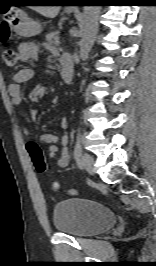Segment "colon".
<instances>
[{
    "label": "colon",
    "mask_w": 156,
    "mask_h": 266,
    "mask_svg": "<svg viewBox=\"0 0 156 266\" xmlns=\"http://www.w3.org/2000/svg\"><path fill=\"white\" fill-rule=\"evenodd\" d=\"M9 33H10L9 26L7 24H3L0 27L1 39H3V40L6 39L9 36ZM2 59L8 68H13L17 64L18 54L13 49H6L2 53ZM26 147H27V151L30 155L31 161H32L35 169L40 173L46 172L47 171V165H46L45 157H44V154H43L41 148L39 147V145L35 142H29ZM52 188L55 191H57L58 190V183L53 182Z\"/></svg>",
    "instance_id": "obj_1"
}]
</instances>
